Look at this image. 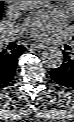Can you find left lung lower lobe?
I'll return each instance as SVG.
<instances>
[{"mask_svg":"<svg viewBox=\"0 0 74 122\" xmlns=\"http://www.w3.org/2000/svg\"><path fill=\"white\" fill-rule=\"evenodd\" d=\"M65 49L69 51H63L64 63L60 67L52 69L49 73L56 84L64 88L74 89V47L71 49L68 45H65Z\"/></svg>","mask_w":74,"mask_h":122,"instance_id":"left-lung-lower-lobe-1","label":"left lung lower lobe"}]
</instances>
